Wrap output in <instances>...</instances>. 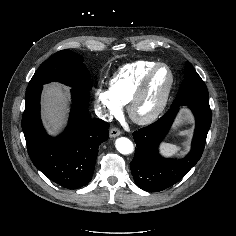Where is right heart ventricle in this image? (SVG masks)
Instances as JSON below:
<instances>
[{
    "mask_svg": "<svg viewBox=\"0 0 236 236\" xmlns=\"http://www.w3.org/2000/svg\"><path fill=\"white\" fill-rule=\"evenodd\" d=\"M156 64L155 61L140 60L120 68L109 84L111 94L120 105L129 102L144 75Z\"/></svg>",
    "mask_w": 236,
    "mask_h": 236,
    "instance_id": "obj_1",
    "label": "right heart ventricle"
}]
</instances>
